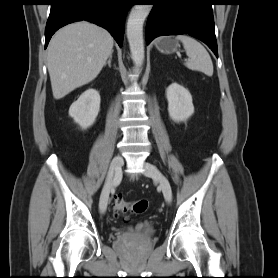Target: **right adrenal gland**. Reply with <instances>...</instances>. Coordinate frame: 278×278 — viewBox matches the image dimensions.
Listing matches in <instances>:
<instances>
[{
  "label": "right adrenal gland",
  "mask_w": 278,
  "mask_h": 278,
  "mask_svg": "<svg viewBox=\"0 0 278 278\" xmlns=\"http://www.w3.org/2000/svg\"><path fill=\"white\" fill-rule=\"evenodd\" d=\"M111 60H112V54L109 56L107 63H105L104 66L108 65L111 68Z\"/></svg>",
  "instance_id": "1"
}]
</instances>
